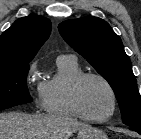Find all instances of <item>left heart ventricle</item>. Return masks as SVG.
Returning a JSON list of instances; mask_svg holds the SVG:
<instances>
[{"instance_id":"left-heart-ventricle-1","label":"left heart ventricle","mask_w":141,"mask_h":139,"mask_svg":"<svg viewBox=\"0 0 141 139\" xmlns=\"http://www.w3.org/2000/svg\"><path fill=\"white\" fill-rule=\"evenodd\" d=\"M84 111L91 117L103 118L112 107L111 94L106 85L95 78L87 79L80 91Z\"/></svg>"}]
</instances>
